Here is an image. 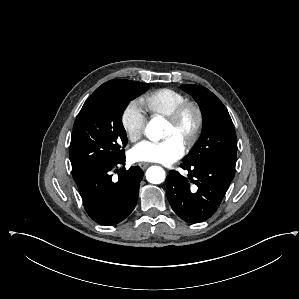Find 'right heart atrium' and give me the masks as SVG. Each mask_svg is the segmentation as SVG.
<instances>
[{"mask_svg": "<svg viewBox=\"0 0 299 299\" xmlns=\"http://www.w3.org/2000/svg\"><path fill=\"white\" fill-rule=\"evenodd\" d=\"M146 124V114L140 101H129L121 114V125L131 141H136L143 134Z\"/></svg>", "mask_w": 299, "mask_h": 299, "instance_id": "1", "label": "right heart atrium"}]
</instances>
